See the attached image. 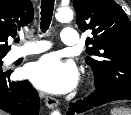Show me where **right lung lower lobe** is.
I'll return each mask as SVG.
<instances>
[{
    "mask_svg": "<svg viewBox=\"0 0 131 115\" xmlns=\"http://www.w3.org/2000/svg\"><path fill=\"white\" fill-rule=\"evenodd\" d=\"M10 71L0 72V109L11 115H38L39 95L26 81L13 82Z\"/></svg>",
    "mask_w": 131,
    "mask_h": 115,
    "instance_id": "obj_1",
    "label": "right lung lower lobe"
}]
</instances>
